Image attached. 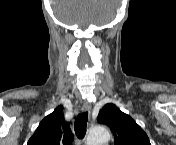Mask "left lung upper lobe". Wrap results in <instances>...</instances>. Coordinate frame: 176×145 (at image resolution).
Here are the masks:
<instances>
[{
	"instance_id": "obj_1",
	"label": "left lung upper lobe",
	"mask_w": 176,
	"mask_h": 145,
	"mask_svg": "<svg viewBox=\"0 0 176 145\" xmlns=\"http://www.w3.org/2000/svg\"><path fill=\"white\" fill-rule=\"evenodd\" d=\"M97 119L111 128L115 145H151L142 128L114 104H106Z\"/></svg>"
}]
</instances>
